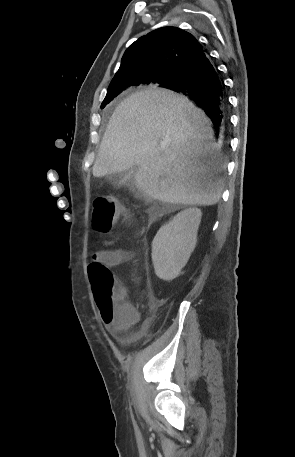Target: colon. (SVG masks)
I'll list each match as a JSON object with an SVG mask.
<instances>
[{
	"instance_id": "5ec220e1",
	"label": "colon",
	"mask_w": 295,
	"mask_h": 457,
	"mask_svg": "<svg viewBox=\"0 0 295 457\" xmlns=\"http://www.w3.org/2000/svg\"><path fill=\"white\" fill-rule=\"evenodd\" d=\"M121 212L122 208L112 196L96 198L91 216L92 228L99 233H108ZM88 275L102 319L126 318L127 290L116 282L110 269L93 261L88 265Z\"/></svg>"
}]
</instances>
